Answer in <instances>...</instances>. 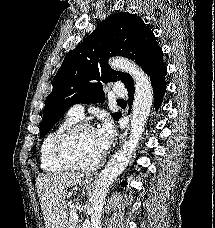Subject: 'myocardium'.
Here are the masks:
<instances>
[{"mask_svg":"<svg viewBox=\"0 0 215 228\" xmlns=\"http://www.w3.org/2000/svg\"><path fill=\"white\" fill-rule=\"evenodd\" d=\"M84 129H91L94 130V128L84 122H77L69 127H67L65 130H63L55 139L52 145V158L53 160L61 167L67 169V170H74V171H80V172H88L95 170L99 168L104 160H105V154L103 155L94 163L88 164V165H80L75 163L68 155L67 153V145L68 143L82 130Z\"/></svg>","mask_w":215,"mask_h":228,"instance_id":"f54148a6","label":"myocardium"}]
</instances>
